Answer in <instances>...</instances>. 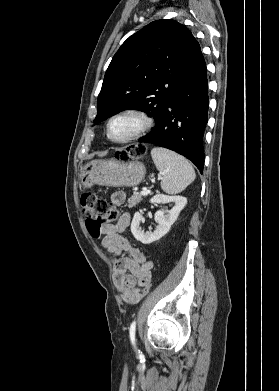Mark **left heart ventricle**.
I'll list each match as a JSON object with an SVG mask.
<instances>
[{"label":"left heart ventricle","instance_id":"b2bd125f","mask_svg":"<svg viewBox=\"0 0 279 391\" xmlns=\"http://www.w3.org/2000/svg\"><path fill=\"white\" fill-rule=\"evenodd\" d=\"M138 126V120L132 116H123L111 124V135L115 139H122L128 136Z\"/></svg>","mask_w":279,"mask_h":391}]
</instances>
